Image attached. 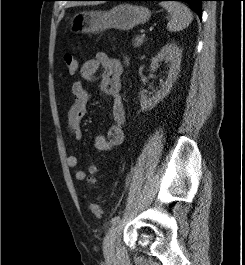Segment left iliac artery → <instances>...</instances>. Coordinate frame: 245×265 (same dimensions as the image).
<instances>
[{"mask_svg": "<svg viewBox=\"0 0 245 265\" xmlns=\"http://www.w3.org/2000/svg\"><path fill=\"white\" fill-rule=\"evenodd\" d=\"M129 181H130V178H129V176H127V179H126V184L127 183H129ZM120 220V216H115V217H113L112 219H111V223L112 224H115L116 222H118Z\"/></svg>", "mask_w": 245, "mask_h": 265, "instance_id": "44dca946", "label": "left iliac artery"}]
</instances>
